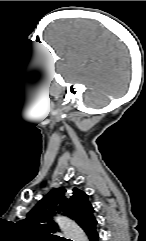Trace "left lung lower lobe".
Wrapping results in <instances>:
<instances>
[{
	"label": "left lung lower lobe",
	"mask_w": 146,
	"mask_h": 241,
	"mask_svg": "<svg viewBox=\"0 0 146 241\" xmlns=\"http://www.w3.org/2000/svg\"><path fill=\"white\" fill-rule=\"evenodd\" d=\"M96 224L97 221L96 219L91 221L90 223L86 224L82 229L85 231L87 234L88 238L90 241H97L99 236L96 231Z\"/></svg>",
	"instance_id": "0a47b994"
}]
</instances>
